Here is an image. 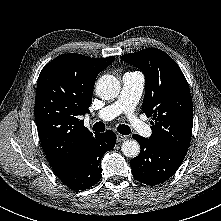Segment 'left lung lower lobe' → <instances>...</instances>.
<instances>
[{"instance_id": "1", "label": "left lung lower lobe", "mask_w": 221, "mask_h": 221, "mask_svg": "<svg viewBox=\"0 0 221 221\" xmlns=\"http://www.w3.org/2000/svg\"><path fill=\"white\" fill-rule=\"evenodd\" d=\"M133 138L140 144L139 155L130 161L133 176L136 180L157 185L175 174L186 153L165 146L157 145L149 139L134 134Z\"/></svg>"}]
</instances>
